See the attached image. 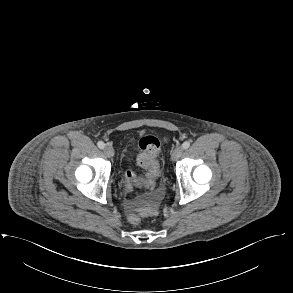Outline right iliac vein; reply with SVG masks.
Returning a JSON list of instances; mask_svg holds the SVG:
<instances>
[{"label": "right iliac vein", "instance_id": "obj_1", "mask_svg": "<svg viewBox=\"0 0 293 293\" xmlns=\"http://www.w3.org/2000/svg\"><path fill=\"white\" fill-rule=\"evenodd\" d=\"M103 152L109 158L114 156V149L111 146L104 147Z\"/></svg>", "mask_w": 293, "mask_h": 293}]
</instances>
